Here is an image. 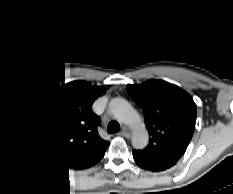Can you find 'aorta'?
Segmentation results:
<instances>
[{
  "label": "aorta",
  "instance_id": "1",
  "mask_svg": "<svg viewBox=\"0 0 233 194\" xmlns=\"http://www.w3.org/2000/svg\"><path fill=\"white\" fill-rule=\"evenodd\" d=\"M110 108L120 121L132 128L133 147L138 149L145 147L148 143V132L140 116L131 105L124 99L116 98L110 103Z\"/></svg>",
  "mask_w": 233,
  "mask_h": 194
}]
</instances>
